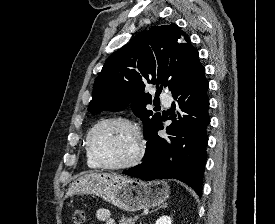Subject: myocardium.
Returning <instances> with one entry per match:
<instances>
[{
    "mask_svg": "<svg viewBox=\"0 0 275 224\" xmlns=\"http://www.w3.org/2000/svg\"><path fill=\"white\" fill-rule=\"evenodd\" d=\"M112 122H119L128 126L132 130L134 137L136 139V152L134 156L130 160L120 164H109L104 162L95 152L92 143L93 136L97 129H99L104 124ZM86 147L90 156L100 167L112 170H122L133 167L141 161L144 155V140L138 126L133 121L123 116H108L96 122L87 134Z\"/></svg>",
    "mask_w": 275,
    "mask_h": 224,
    "instance_id": "1",
    "label": "myocardium"
}]
</instances>
